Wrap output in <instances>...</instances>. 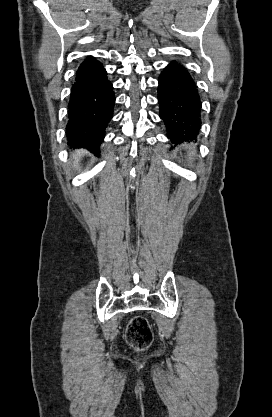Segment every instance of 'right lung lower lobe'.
<instances>
[{"label": "right lung lower lobe", "mask_w": 272, "mask_h": 417, "mask_svg": "<svg viewBox=\"0 0 272 417\" xmlns=\"http://www.w3.org/2000/svg\"><path fill=\"white\" fill-rule=\"evenodd\" d=\"M115 103L112 84L102 64L88 56L76 73L68 104V144L99 153Z\"/></svg>", "instance_id": "right-lung-lower-lobe-1"}]
</instances>
